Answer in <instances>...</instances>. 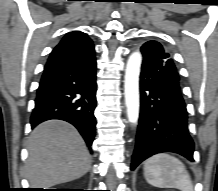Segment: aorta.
Here are the masks:
<instances>
[{
	"label": "aorta",
	"mask_w": 218,
	"mask_h": 191,
	"mask_svg": "<svg viewBox=\"0 0 218 191\" xmlns=\"http://www.w3.org/2000/svg\"><path fill=\"white\" fill-rule=\"evenodd\" d=\"M142 63L140 52H133L126 65L124 79V96L128 120L136 125L139 119V75Z\"/></svg>",
	"instance_id": "aorta-1"
}]
</instances>
